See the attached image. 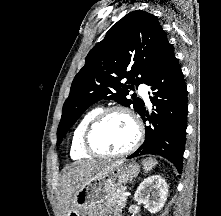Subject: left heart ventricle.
I'll return each instance as SVG.
<instances>
[{
    "label": "left heart ventricle",
    "instance_id": "left-heart-ventricle-1",
    "mask_svg": "<svg viewBox=\"0 0 221 216\" xmlns=\"http://www.w3.org/2000/svg\"><path fill=\"white\" fill-rule=\"evenodd\" d=\"M134 137L135 129L131 120L122 113H112L95 128L91 143L97 150L116 153L128 148Z\"/></svg>",
    "mask_w": 221,
    "mask_h": 216
}]
</instances>
